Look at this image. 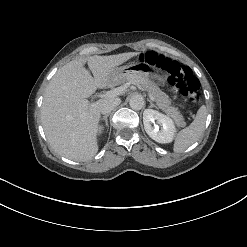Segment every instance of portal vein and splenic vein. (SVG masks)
I'll list each match as a JSON object with an SVG mask.
<instances>
[{
  "mask_svg": "<svg viewBox=\"0 0 247 247\" xmlns=\"http://www.w3.org/2000/svg\"><path fill=\"white\" fill-rule=\"evenodd\" d=\"M129 84L130 83H127L124 86H120V87H117V88H115L113 90L107 91L105 94L102 95V97H104V98H111V97H115V96L121 95L122 93H124V91L126 90V88H127V86ZM148 95H149V98L152 101H155L154 97L151 94H148Z\"/></svg>",
  "mask_w": 247,
  "mask_h": 247,
  "instance_id": "obj_1",
  "label": "portal vein and splenic vein"
}]
</instances>
